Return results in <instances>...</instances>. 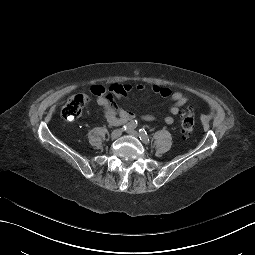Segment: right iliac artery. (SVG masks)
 Segmentation results:
<instances>
[{"mask_svg":"<svg viewBox=\"0 0 255 255\" xmlns=\"http://www.w3.org/2000/svg\"><path fill=\"white\" fill-rule=\"evenodd\" d=\"M136 127H137V121L133 120V121H130L129 123L123 125L122 129L128 130V129H134Z\"/></svg>","mask_w":255,"mask_h":255,"instance_id":"1","label":"right iliac artery"}]
</instances>
